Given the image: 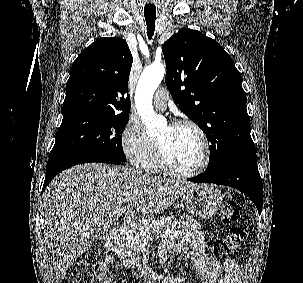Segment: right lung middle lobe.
Segmentation results:
<instances>
[{
	"label": "right lung middle lobe",
	"mask_w": 303,
	"mask_h": 283,
	"mask_svg": "<svg viewBox=\"0 0 303 283\" xmlns=\"http://www.w3.org/2000/svg\"><path fill=\"white\" fill-rule=\"evenodd\" d=\"M129 117L78 113L63 117L49 159L99 155L126 162L122 136Z\"/></svg>",
	"instance_id": "1"
}]
</instances>
